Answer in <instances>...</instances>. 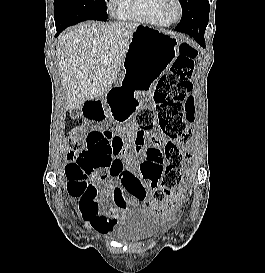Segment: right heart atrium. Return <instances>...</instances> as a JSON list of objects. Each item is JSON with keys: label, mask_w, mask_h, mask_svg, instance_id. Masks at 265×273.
I'll return each mask as SVG.
<instances>
[{"label": "right heart atrium", "mask_w": 265, "mask_h": 273, "mask_svg": "<svg viewBox=\"0 0 265 273\" xmlns=\"http://www.w3.org/2000/svg\"><path fill=\"white\" fill-rule=\"evenodd\" d=\"M119 0H109V5L111 7H116L118 5Z\"/></svg>", "instance_id": "d8ad5b80"}]
</instances>
